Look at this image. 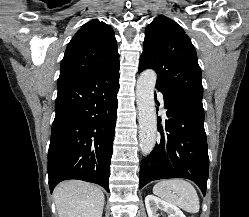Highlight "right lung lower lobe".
<instances>
[{"label": "right lung lower lobe", "mask_w": 249, "mask_h": 217, "mask_svg": "<svg viewBox=\"0 0 249 217\" xmlns=\"http://www.w3.org/2000/svg\"><path fill=\"white\" fill-rule=\"evenodd\" d=\"M118 81L119 65L95 76L58 79L48 150L51 193L67 179L96 183L109 192Z\"/></svg>", "instance_id": "98d812e1"}]
</instances>
